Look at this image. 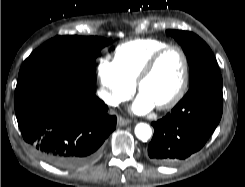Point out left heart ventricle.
Returning <instances> with one entry per match:
<instances>
[{
	"label": "left heart ventricle",
	"mask_w": 245,
	"mask_h": 187,
	"mask_svg": "<svg viewBox=\"0 0 245 187\" xmlns=\"http://www.w3.org/2000/svg\"><path fill=\"white\" fill-rule=\"evenodd\" d=\"M183 74V63L176 50L165 53L158 61L151 75L141 85L145 94L155 106L170 99L177 91Z\"/></svg>",
	"instance_id": "1"
}]
</instances>
